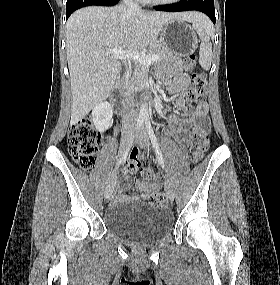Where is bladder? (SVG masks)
I'll return each instance as SVG.
<instances>
[{"instance_id": "31cf9c89", "label": "bladder", "mask_w": 280, "mask_h": 285, "mask_svg": "<svg viewBox=\"0 0 280 285\" xmlns=\"http://www.w3.org/2000/svg\"><path fill=\"white\" fill-rule=\"evenodd\" d=\"M105 225L114 235L135 243H153L165 235L173 225L167 209L149 203H122L105 212Z\"/></svg>"}]
</instances>
